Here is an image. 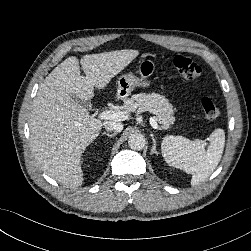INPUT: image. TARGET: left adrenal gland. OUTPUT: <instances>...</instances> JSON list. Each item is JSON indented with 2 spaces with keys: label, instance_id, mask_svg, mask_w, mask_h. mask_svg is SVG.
Segmentation results:
<instances>
[{
  "label": "left adrenal gland",
  "instance_id": "1",
  "mask_svg": "<svg viewBox=\"0 0 251 251\" xmlns=\"http://www.w3.org/2000/svg\"><path fill=\"white\" fill-rule=\"evenodd\" d=\"M151 138H152V141H153V146H152V149H151V154H158L157 150H156V140L154 138V135L151 134Z\"/></svg>",
  "mask_w": 251,
  "mask_h": 251
}]
</instances>
